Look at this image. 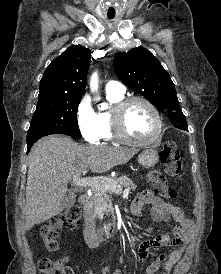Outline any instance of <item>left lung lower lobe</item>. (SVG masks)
Wrapping results in <instances>:
<instances>
[{
	"label": "left lung lower lobe",
	"instance_id": "obj_1",
	"mask_svg": "<svg viewBox=\"0 0 221 274\" xmlns=\"http://www.w3.org/2000/svg\"><path fill=\"white\" fill-rule=\"evenodd\" d=\"M176 128H178V127H176ZM179 129H182V130L188 131V128H184V127H179Z\"/></svg>",
	"mask_w": 221,
	"mask_h": 274
}]
</instances>
